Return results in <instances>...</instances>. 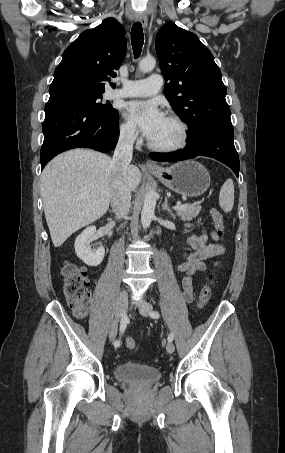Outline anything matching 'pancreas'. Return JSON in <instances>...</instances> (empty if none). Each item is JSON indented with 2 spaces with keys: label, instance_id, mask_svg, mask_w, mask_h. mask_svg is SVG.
I'll return each instance as SVG.
<instances>
[{
  "label": "pancreas",
  "instance_id": "obj_1",
  "mask_svg": "<svg viewBox=\"0 0 285 453\" xmlns=\"http://www.w3.org/2000/svg\"><path fill=\"white\" fill-rule=\"evenodd\" d=\"M186 207L184 209L176 210V214L181 218L183 221H191L193 218L197 217L201 211V206L194 204H185Z\"/></svg>",
  "mask_w": 285,
  "mask_h": 453
}]
</instances>
